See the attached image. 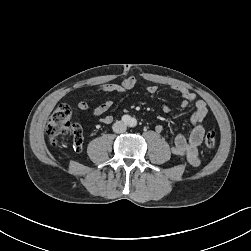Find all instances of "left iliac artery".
I'll list each match as a JSON object with an SVG mask.
<instances>
[{"instance_id":"left-iliac-artery-1","label":"left iliac artery","mask_w":251,"mask_h":251,"mask_svg":"<svg viewBox=\"0 0 251 251\" xmlns=\"http://www.w3.org/2000/svg\"><path fill=\"white\" fill-rule=\"evenodd\" d=\"M129 125H130L131 127H135V126L137 125L136 119H135V118H132V119L130 120Z\"/></svg>"}]
</instances>
